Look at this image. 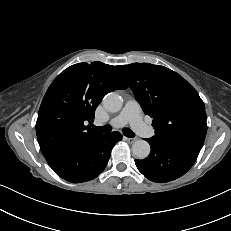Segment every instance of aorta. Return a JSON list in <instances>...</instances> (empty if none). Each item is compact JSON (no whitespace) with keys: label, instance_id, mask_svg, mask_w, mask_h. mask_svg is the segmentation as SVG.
Returning a JSON list of instances; mask_svg holds the SVG:
<instances>
[{"label":"aorta","instance_id":"aorta-1","mask_svg":"<svg viewBox=\"0 0 231 231\" xmlns=\"http://www.w3.org/2000/svg\"><path fill=\"white\" fill-rule=\"evenodd\" d=\"M103 105L110 112H118L122 108V98L116 93H109L103 99ZM150 145L145 140H137L132 145V152L135 158L145 159L150 154Z\"/></svg>","mask_w":231,"mask_h":231}]
</instances>
